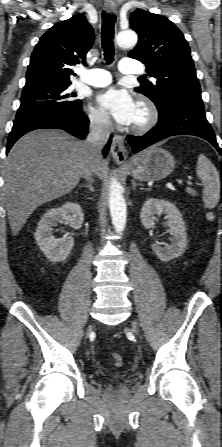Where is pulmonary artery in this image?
<instances>
[{"label": "pulmonary artery", "instance_id": "obj_1", "mask_svg": "<svg viewBox=\"0 0 222 447\" xmlns=\"http://www.w3.org/2000/svg\"><path fill=\"white\" fill-rule=\"evenodd\" d=\"M119 70L123 75H140L144 73V67L133 59H123L119 65ZM80 81L93 87H104L112 82L110 73L104 69L96 68L83 70Z\"/></svg>", "mask_w": 222, "mask_h": 447}]
</instances>
